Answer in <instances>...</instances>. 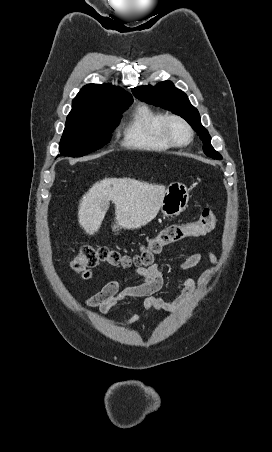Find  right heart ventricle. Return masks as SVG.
Instances as JSON below:
<instances>
[{"mask_svg":"<svg viewBox=\"0 0 272 452\" xmlns=\"http://www.w3.org/2000/svg\"><path fill=\"white\" fill-rule=\"evenodd\" d=\"M166 114L148 105L137 107L122 131L127 148L141 151H166L173 146L166 140L162 126Z\"/></svg>","mask_w":272,"mask_h":452,"instance_id":"e07e8e85","label":"right heart ventricle"}]
</instances>
